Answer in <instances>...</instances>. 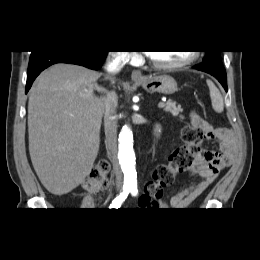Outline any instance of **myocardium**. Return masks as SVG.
I'll return each mask as SVG.
<instances>
[{"mask_svg": "<svg viewBox=\"0 0 260 260\" xmlns=\"http://www.w3.org/2000/svg\"><path fill=\"white\" fill-rule=\"evenodd\" d=\"M199 53L197 51H192L190 52V55L178 62H174V63H160L157 62L156 60H154L150 54L147 55L148 61L149 63L157 68V69H161V70H177V69H181L183 67H186L190 64H192L194 61H196V59L198 58Z\"/></svg>", "mask_w": 260, "mask_h": 260, "instance_id": "myocardium-1", "label": "myocardium"}]
</instances>
